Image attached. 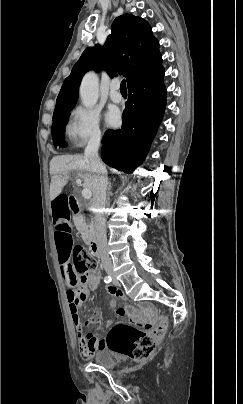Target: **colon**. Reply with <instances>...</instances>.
I'll use <instances>...</instances> for the list:
<instances>
[{"label": "colon", "mask_w": 243, "mask_h": 404, "mask_svg": "<svg viewBox=\"0 0 243 404\" xmlns=\"http://www.w3.org/2000/svg\"><path fill=\"white\" fill-rule=\"evenodd\" d=\"M73 258L74 273L82 278L96 269L95 257L83 246L75 247ZM165 326L164 318H160L158 325L150 332L124 323L116 324L108 333L106 347L114 353L145 360L154 352L157 339Z\"/></svg>", "instance_id": "1"}]
</instances>
